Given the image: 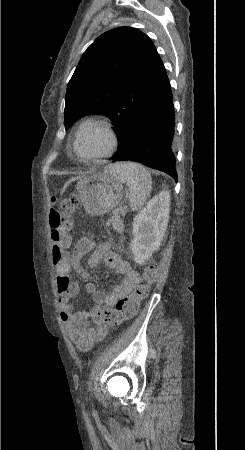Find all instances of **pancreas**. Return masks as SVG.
<instances>
[{
    "label": "pancreas",
    "instance_id": "1",
    "mask_svg": "<svg viewBox=\"0 0 245 450\" xmlns=\"http://www.w3.org/2000/svg\"><path fill=\"white\" fill-rule=\"evenodd\" d=\"M110 224H112L113 228L118 232L122 233L123 231V220L120 218L119 213L114 214L108 221Z\"/></svg>",
    "mask_w": 245,
    "mask_h": 450
}]
</instances>
